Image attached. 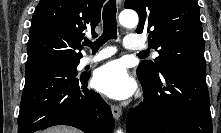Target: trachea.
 <instances>
[{
  "label": "trachea",
  "mask_w": 221,
  "mask_h": 133,
  "mask_svg": "<svg viewBox=\"0 0 221 133\" xmlns=\"http://www.w3.org/2000/svg\"><path fill=\"white\" fill-rule=\"evenodd\" d=\"M103 34L95 41L86 40L83 44L89 46L93 52H96L100 46L110 39L117 38V23H116V1H108L103 9ZM147 53H139V56L145 57Z\"/></svg>",
  "instance_id": "obj_1"
}]
</instances>
